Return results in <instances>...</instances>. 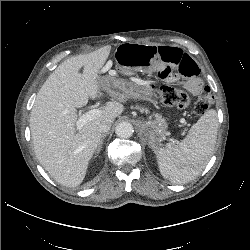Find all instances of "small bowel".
<instances>
[{"label":"small bowel","instance_id":"1","mask_svg":"<svg viewBox=\"0 0 250 250\" xmlns=\"http://www.w3.org/2000/svg\"><path fill=\"white\" fill-rule=\"evenodd\" d=\"M114 66L128 76L155 77L163 82L183 78L184 87L193 94L202 89L198 65L178 48L123 44L115 51Z\"/></svg>","mask_w":250,"mask_h":250}]
</instances>
